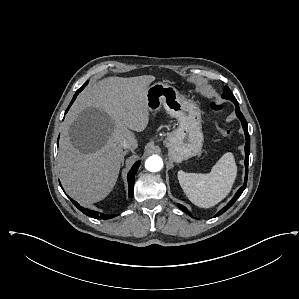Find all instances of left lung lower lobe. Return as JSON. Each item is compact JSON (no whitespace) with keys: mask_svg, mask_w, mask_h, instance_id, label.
<instances>
[{"mask_svg":"<svg viewBox=\"0 0 299 299\" xmlns=\"http://www.w3.org/2000/svg\"><path fill=\"white\" fill-rule=\"evenodd\" d=\"M235 106H236V115L237 117L240 119L243 129L245 131V137H246V144H245V167H246V176H245V181L244 184L241 188H239V190L236 192L235 196L232 198V200L222 209L220 210L214 217H217L219 215H221L223 212L226 211V209H228L229 207H231V205L240 197V195L243 193V191L246 188V183H247V175H248V160H249V154H250V136L248 133V124L246 119L244 118L243 114L240 111L239 108V104L237 102V100H233L232 101ZM179 208L182 209L183 211H185L186 213H188L190 216L191 214L188 212V210L186 209V207L178 204Z\"/></svg>","mask_w":299,"mask_h":299,"instance_id":"obj_1","label":"left lung lower lobe"}]
</instances>
